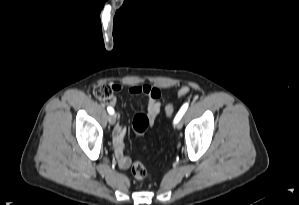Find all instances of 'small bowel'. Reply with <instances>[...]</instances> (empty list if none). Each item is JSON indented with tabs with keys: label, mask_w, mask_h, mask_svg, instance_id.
<instances>
[{
	"label": "small bowel",
	"mask_w": 299,
	"mask_h": 205,
	"mask_svg": "<svg viewBox=\"0 0 299 205\" xmlns=\"http://www.w3.org/2000/svg\"><path fill=\"white\" fill-rule=\"evenodd\" d=\"M116 91L121 89L118 84L113 85ZM129 92L133 95L144 94L148 97V105L145 115L149 120V125L152 126L159 115L162 107L161 91L158 87L145 85L131 86ZM126 134V128L119 124L113 132L114 154L117 163L121 169H128L131 165V158L124 153L123 141Z\"/></svg>",
	"instance_id": "obj_1"
}]
</instances>
